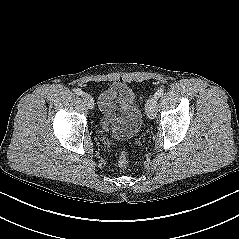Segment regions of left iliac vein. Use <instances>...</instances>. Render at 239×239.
Here are the masks:
<instances>
[{"instance_id": "4c4485c4", "label": "left iliac vein", "mask_w": 239, "mask_h": 239, "mask_svg": "<svg viewBox=\"0 0 239 239\" xmlns=\"http://www.w3.org/2000/svg\"><path fill=\"white\" fill-rule=\"evenodd\" d=\"M145 112L150 119H153L157 114V98L150 97L145 105Z\"/></svg>"}]
</instances>
